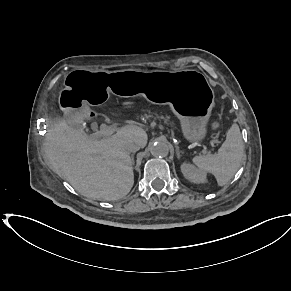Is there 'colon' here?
<instances>
[{
    "mask_svg": "<svg viewBox=\"0 0 291 291\" xmlns=\"http://www.w3.org/2000/svg\"><path fill=\"white\" fill-rule=\"evenodd\" d=\"M218 123H219L218 121H214V122H213V126H217Z\"/></svg>",
    "mask_w": 291,
    "mask_h": 291,
    "instance_id": "1",
    "label": "colon"
}]
</instances>
